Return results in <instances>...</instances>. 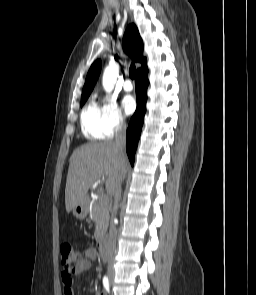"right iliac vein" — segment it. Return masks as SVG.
Wrapping results in <instances>:
<instances>
[{"label": "right iliac vein", "mask_w": 256, "mask_h": 295, "mask_svg": "<svg viewBox=\"0 0 256 295\" xmlns=\"http://www.w3.org/2000/svg\"><path fill=\"white\" fill-rule=\"evenodd\" d=\"M108 277H109L110 281H113L114 274H113V273H109V274H108Z\"/></svg>", "instance_id": "right-iliac-vein-1"}]
</instances>
